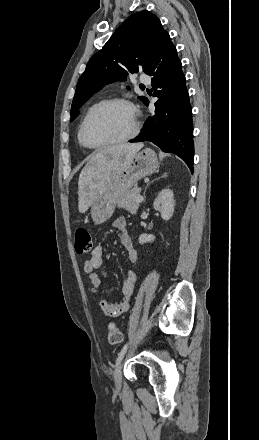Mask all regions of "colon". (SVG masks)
I'll use <instances>...</instances> for the list:
<instances>
[{
    "label": "colon",
    "instance_id": "obj_1",
    "mask_svg": "<svg viewBox=\"0 0 259 440\" xmlns=\"http://www.w3.org/2000/svg\"><path fill=\"white\" fill-rule=\"evenodd\" d=\"M93 247L92 236L88 229L79 228L75 235V250L78 254H85L91 251ZM108 341L111 344H120L123 341V333L121 329L111 323L108 326Z\"/></svg>",
    "mask_w": 259,
    "mask_h": 440
}]
</instances>
